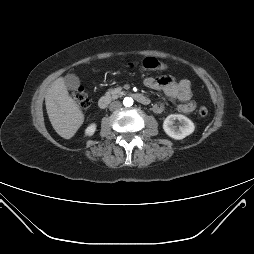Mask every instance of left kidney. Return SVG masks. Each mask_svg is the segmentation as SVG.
Wrapping results in <instances>:
<instances>
[{
    "mask_svg": "<svg viewBox=\"0 0 254 254\" xmlns=\"http://www.w3.org/2000/svg\"><path fill=\"white\" fill-rule=\"evenodd\" d=\"M179 121V125H175V121ZM165 133L173 139L181 140L194 132V123L184 115L171 114L166 117L163 123Z\"/></svg>",
    "mask_w": 254,
    "mask_h": 254,
    "instance_id": "5707ae66",
    "label": "left kidney"
}]
</instances>
